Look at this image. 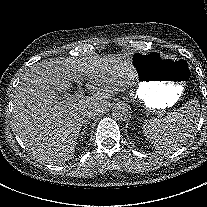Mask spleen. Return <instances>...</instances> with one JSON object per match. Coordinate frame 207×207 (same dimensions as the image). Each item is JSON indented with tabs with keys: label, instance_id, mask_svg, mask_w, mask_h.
<instances>
[{
	"label": "spleen",
	"instance_id": "1",
	"mask_svg": "<svg viewBox=\"0 0 207 207\" xmlns=\"http://www.w3.org/2000/svg\"><path fill=\"white\" fill-rule=\"evenodd\" d=\"M198 109L193 104H188L184 109L175 111L161 120H153L146 126L144 132L150 136V141L155 146H167L184 141L194 125Z\"/></svg>",
	"mask_w": 207,
	"mask_h": 207
}]
</instances>
